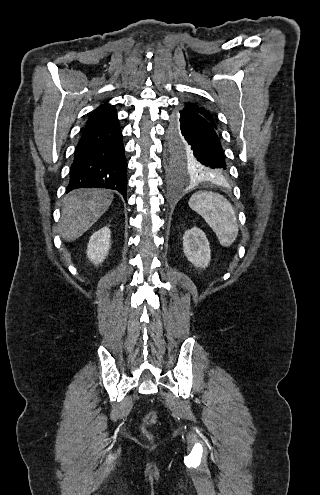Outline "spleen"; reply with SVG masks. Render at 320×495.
Here are the masks:
<instances>
[{"label":"spleen","mask_w":320,"mask_h":495,"mask_svg":"<svg viewBox=\"0 0 320 495\" xmlns=\"http://www.w3.org/2000/svg\"><path fill=\"white\" fill-rule=\"evenodd\" d=\"M189 206L203 217L221 246L229 247L234 243L239 231L237 217L225 197L212 191H200L189 199Z\"/></svg>","instance_id":"spleen-1"}]
</instances>
